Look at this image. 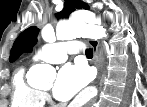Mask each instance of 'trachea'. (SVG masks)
<instances>
[{
	"mask_svg": "<svg viewBox=\"0 0 147 107\" xmlns=\"http://www.w3.org/2000/svg\"><path fill=\"white\" fill-rule=\"evenodd\" d=\"M85 55L87 58L93 57V51L91 49L86 50Z\"/></svg>",
	"mask_w": 147,
	"mask_h": 107,
	"instance_id": "1",
	"label": "trachea"
}]
</instances>
